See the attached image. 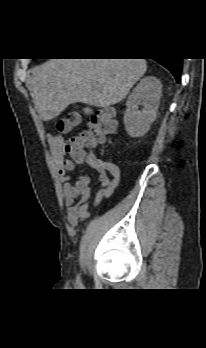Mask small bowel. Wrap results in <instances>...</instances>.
Segmentation results:
<instances>
[{
	"instance_id": "small-bowel-1",
	"label": "small bowel",
	"mask_w": 206,
	"mask_h": 348,
	"mask_svg": "<svg viewBox=\"0 0 206 348\" xmlns=\"http://www.w3.org/2000/svg\"><path fill=\"white\" fill-rule=\"evenodd\" d=\"M54 163L57 168L58 178L63 183V195L67 207L68 221L75 227L80 222L89 218V204L92 201L97 206L102 199L109 197L120 182V168L108 161H104L94 154H89L82 159H67L63 150L62 137H53L50 144ZM85 163L98 174V187L93 195L90 186L91 178L82 174L72 183L69 172L74 164Z\"/></svg>"
}]
</instances>
